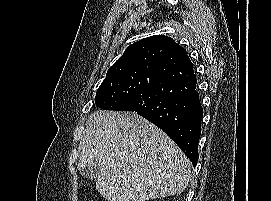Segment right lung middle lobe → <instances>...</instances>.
I'll return each mask as SVG.
<instances>
[{"instance_id": "right-lung-middle-lobe-1", "label": "right lung middle lobe", "mask_w": 271, "mask_h": 201, "mask_svg": "<svg viewBox=\"0 0 271 201\" xmlns=\"http://www.w3.org/2000/svg\"><path fill=\"white\" fill-rule=\"evenodd\" d=\"M150 69H138L107 76L96 92L95 104L105 110H120L121 102L148 87Z\"/></svg>"}]
</instances>
